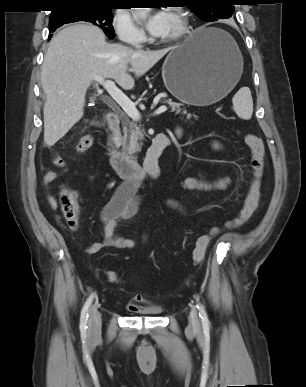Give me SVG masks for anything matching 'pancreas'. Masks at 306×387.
<instances>
[{
  "mask_svg": "<svg viewBox=\"0 0 306 387\" xmlns=\"http://www.w3.org/2000/svg\"><path fill=\"white\" fill-rule=\"evenodd\" d=\"M163 103H167L171 107V111L179 114L181 112V104L173 102L171 99L164 100ZM186 110L183 114H186ZM187 119H190V115H187ZM123 136L120 137L119 143L122 146V153L124 155H131L141 150V145L144 140V129H141L135 122L130 121L127 118H123Z\"/></svg>",
  "mask_w": 306,
  "mask_h": 387,
  "instance_id": "cf45deb5",
  "label": "pancreas"
}]
</instances>
